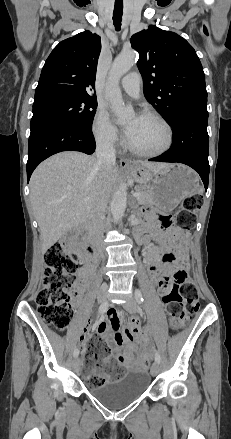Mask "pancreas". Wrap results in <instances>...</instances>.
Returning a JSON list of instances; mask_svg holds the SVG:
<instances>
[{
    "instance_id": "1",
    "label": "pancreas",
    "mask_w": 231,
    "mask_h": 439,
    "mask_svg": "<svg viewBox=\"0 0 231 439\" xmlns=\"http://www.w3.org/2000/svg\"><path fill=\"white\" fill-rule=\"evenodd\" d=\"M137 192L140 193V196L137 197L139 204H153L154 198L148 190L140 188L137 189Z\"/></svg>"
}]
</instances>
